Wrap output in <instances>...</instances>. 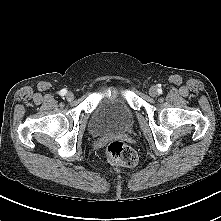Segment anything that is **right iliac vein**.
<instances>
[{
    "instance_id": "right-iliac-vein-1",
    "label": "right iliac vein",
    "mask_w": 221,
    "mask_h": 221,
    "mask_svg": "<svg viewBox=\"0 0 221 221\" xmlns=\"http://www.w3.org/2000/svg\"><path fill=\"white\" fill-rule=\"evenodd\" d=\"M73 98H74L73 93H72V92H67V94H66V99H67L68 101H71V100H73Z\"/></svg>"
}]
</instances>
